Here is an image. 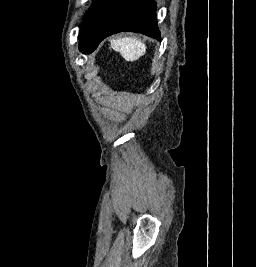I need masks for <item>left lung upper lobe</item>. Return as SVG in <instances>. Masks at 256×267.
Returning a JSON list of instances; mask_svg holds the SVG:
<instances>
[{
    "label": "left lung upper lobe",
    "mask_w": 256,
    "mask_h": 267,
    "mask_svg": "<svg viewBox=\"0 0 256 267\" xmlns=\"http://www.w3.org/2000/svg\"><path fill=\"white\" fill-rule=\"evenodd\" d=\"M155 9L154 0H96L82 24L80 51L92 53L104 38L121 31L160 39Z\"/></svg>",
    "instance_id": "obj_1"
}]
</instances>
